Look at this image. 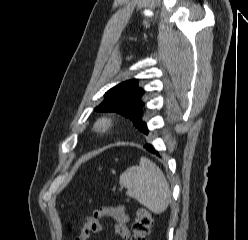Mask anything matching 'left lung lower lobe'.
<instances>
[{"mask_svg": "<svg viewBox=\"0 0 248 240\" xmlns=\"http://www.w3.org/2000/svg\"><path fill=\"white\" fill-rule=\"evenodd\" d=\"M144 147H145L146 150H148L149 152H152V153H154V154L159 155L158 151H156V150L154 149L153 145H151V144H146Z\"/></svg>", "mask_w": 248, "mask_h": 240, "instance_id": "1", "label": "left lung lower lobe"}]
</instances>
